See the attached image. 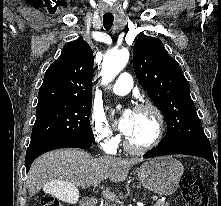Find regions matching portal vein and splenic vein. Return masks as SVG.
Wrapping results in <instances>:
<instances>
[{
	"label": "portal vein and splenic vein",
	"instance_id": "portal-vein-and-splenic-vein-1",
	"mask_svg": "<svg viewBox=\"0 0 221 206\" xmlns=\"http://www.w3.org/2000/svg\"><path fill=\"white\" fill-rule=\"evenodd\" d=\"M103 196L108 198V199H115V195H113L112 193H110L108 191H104ZM152 199L157 200V197L153 196Z\"/></svg>",
	"mask_w": 221,
	"mask_h": 206
}]
</instances>
